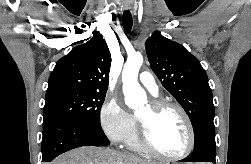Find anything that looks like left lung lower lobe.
Returning a JSON list of instances; mask_svg holds the SVG:
<instances>
[{"mask_svg": "<svg viewBox=\"0 0 251 164\" xmlns=\"http://www.w3.org/2000/svg\"><path fill=\"white\" fill-rule=\"evenodd\" d=\"M215 136L204 134L195 140V147L191 156L184 162H212L215 161Z\"/></svg>", "mask_w": 251, "mask_h": 164, "instance_id": "0a47b994", "label": "left lung lower lobe"}]
</instances>
